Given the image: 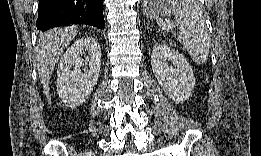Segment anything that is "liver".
I'll return each instance as SVG.
<instances>
[{"label":"liver","instance_id":"6515ba94","mask_svg":"<svg viewBox=\"0 0 261 156\" xmlns=\"http://www.w3.org/2000/svg\"><path fill=\"white\" fill-rule=\"evenodd\" d=\"M76 27H66L53 29L43 34L37 43L35 53L37 62V71L40 82L44 88V94L50 103L49 84L55 64L60 58L65 47L76 36Z\"/></svg>","mask_w":261,"mask_h":156}]
</instances>
